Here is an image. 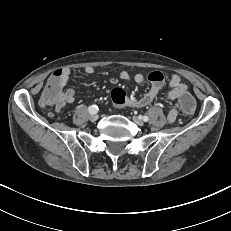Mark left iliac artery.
I'll return each instance as SVG.
<instances>
[{"label": "left iliac artery", "mask_w": 231, "mask_h": 231, "mask_svg": "<svg viewBox=\"0 0 231 231\" xmlns=\"http://www.w3.org/2000/svg\"><path fill=\"white\" fill-rule=\"evenodd\" d=\"M143 119V121L147 122L149 120L148 116H143L141 117Z\"/></svg>", "instance_id": "left-iliac-artery-1"}]
</instances>
